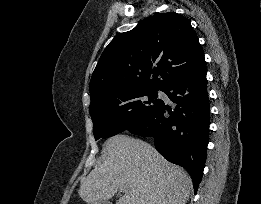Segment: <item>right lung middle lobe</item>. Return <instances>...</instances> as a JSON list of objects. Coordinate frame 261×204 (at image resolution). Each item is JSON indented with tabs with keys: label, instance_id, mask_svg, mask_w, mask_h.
Wrapping results in <instances>:
<instances>
[{
	"label": "right lung middle lobe",
	"instance_id": "obj_1",
	"mask_svg": "<svg viewBox=\"0 0 261 204\" xmlns=\"http://www.w3.org/2000/svg\"><path fill=\"white\" fill-rule=\"evenodd\" d=\"M157 91H123L90 107L95 140L114 136L142 120L160 102Z\"/></svg>",
	"mask_w": 261,
	"mask_h": 204
}]
</instances>
